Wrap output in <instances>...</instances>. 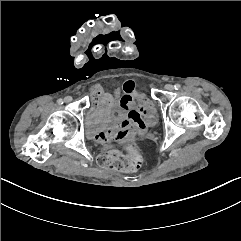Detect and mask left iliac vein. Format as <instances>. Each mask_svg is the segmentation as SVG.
<instances>
[{
    "label": "left iliac vein",
    "instance_id": "obj_1",
    "mask_svg": "<svg viewBox=\"0 0 241 241\" xmlns=\"http://www.w3.org/2000/svg\"><path fill=\"white\" fill-rule=\"evenodd\" d=\"M165 89L168 90V91H172V90L174 89V86L171 85V84H167V85L165 86Z\"/></svg>",
    "mask_w": 241,
    "mask_h": 241
}]
</instances>
